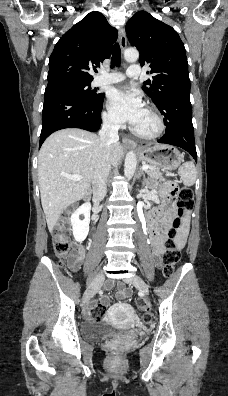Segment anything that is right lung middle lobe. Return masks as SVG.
I'll return each mask as SVG.
<instances>
[{"instance_id": "obj_1", "label": "right lung middle lobe", "mask_w": 228, "mask_h": 396, "mask_svg": "<svg viewBox=\"0 0 228 396\" xmlns=\"http://www.w3.org/2000/svg\"><path fill=\"white\" fill-rule=\"evenodd\" d=\"M90 82H64L51 87H47L45 92L51 90H62L71 92L84 101L94 102L103 97V94H97L96 90H91Z\"/></svg>"}]
</instances>
